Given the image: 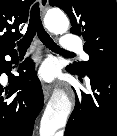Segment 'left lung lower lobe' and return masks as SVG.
Instances as JSON below:
<instances>
[{
	"mask_svg": "<svg viewBox=\"0 0 117 136\" xmlns=\"http://www.w3.org/2000/svg\"><path fill=\"white\" fill-rule=\"evenodd\" d=\"M85 75L92 93L76 94L64 136H117V65H94ZM83 76L78 75L81 82Z\"/></svg>",
	"mask_w": 117,
	"mask_h": 136,
	"instance_id": "1",
	"label": "left lung lower lobe"
}]
</instances>
